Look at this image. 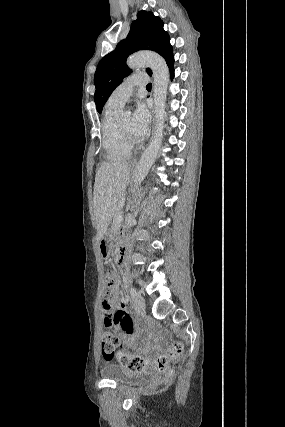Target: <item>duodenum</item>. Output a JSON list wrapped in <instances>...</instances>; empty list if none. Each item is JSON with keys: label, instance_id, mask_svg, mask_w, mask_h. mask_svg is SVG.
<instances>
[{"label": "duodenum", "instance_id": "1", "mask_svg": "<svg viewBox=\"0 0 285 427\" xmlns=\"http://www.w3.org/2000/svg\"><path fill=\"white\" fill-rule=\"evenodd\" d=\"M127 251V247L125 245H120L119 249H118V257L119 259H122L125 257Z\"/></svg>", "mask_w": 285, "mask_h": 427}]
</instances>
